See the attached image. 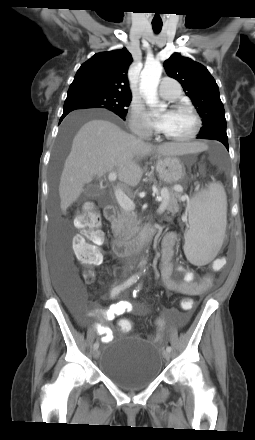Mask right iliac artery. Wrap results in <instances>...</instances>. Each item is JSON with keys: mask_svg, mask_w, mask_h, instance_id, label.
Returning <instances> with one entry per match:
<instances>
[{"mask_svg": "<svg viewBox=\"0 0 255 440\" xmlns=\"http://www.w3.org/2000/svg\"><path fill=\"white\" fill-rule=\"evenodd\" d=\"M138 279H139V275H138V274H135V275H133L132 277H130V278H129L126 282H124L123 284L114 287V288L111 290V294H110L111 297L114 298V297H115L116 295H118L121 291H123L124 289H126V288L130 287L131 285H133L134 283H136ZM93 347H94V349H98V347H99V342H98V341L95 342Z\"/></svg>", "mask_w": 255, "mask_h": 440, "instance_id": "right-iliac-artery-1", "label": "right iliac artery"}]
</instances>
